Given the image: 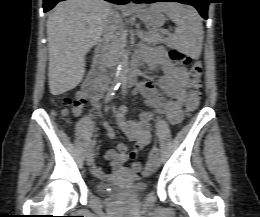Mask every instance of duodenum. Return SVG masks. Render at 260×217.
I'll return each mask as SVG.
<instances>
[{
  "instance_id": "1",
  "label": "duodenum",
  "mask_w": 260,
  "mask_h": 217,
  "mask_svg": "<svg viewBox=\"0 0 260 217\" xmlns=\"http://www.w3.org/2000/svg\"><path fill=\"white\" fill-rule=\"evenodd\" d=\"M139 66L137 63L133 64L132 69L126 74L124 83L133 85L137 82ZM103 73L101 64H96L82 84V93L85 95H93L95 93H103L105 89V82L100 76Z\"/></svg>"
}]
</instances>
